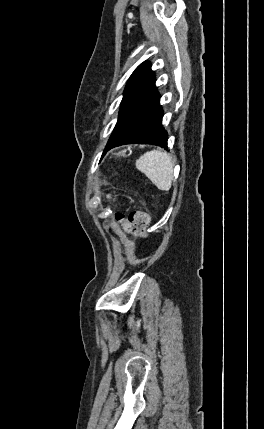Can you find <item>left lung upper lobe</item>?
<instances>
[{"label": "left lung upper lobe", "mask_w": 264, "mask_h": 429, "mask_svg": "<svg viewBox=\"0 0 264 429\" xmlns=\"http://www.w3.org/2000/svg\"><path fill=\"white\" fill-rule=\"evenodd\" d=\"M155 89V78L151 66L147 62H143L129 78L121 102L119 118L107 145L119 137L135 109Z\"/></svg>", "instance_id": "obj_1"}]
</instances>
